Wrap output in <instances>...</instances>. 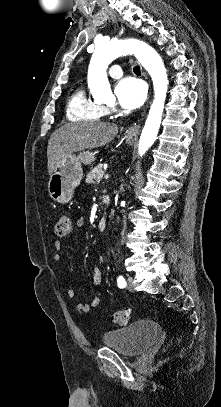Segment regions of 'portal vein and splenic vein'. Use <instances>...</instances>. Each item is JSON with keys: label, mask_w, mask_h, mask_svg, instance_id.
I'll list each match as a JSON object with an SVG mask.
<instances>
[{"label": "portal vein and splenic vein", "mask_w": 221, "mask_h": 407, "mask_svg": "<svg viewBox=\"0 0 221 407\" xmlns=\"http://www.w3.org/2000/svg\"><path fill=\"white\" fill-rule=\"evenodd\" d=\"M109 178V174L104 175V179L107 180Z\"/></svg>", "instance_id": "obj_1"}]
</instances>
